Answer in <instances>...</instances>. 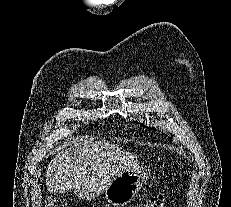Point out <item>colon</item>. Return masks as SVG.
<instances>
[{
	"label": "colon",
	"mask_w": 231,
	"mask_h": 207,
	"mask_svg": "<svg viewBox=\"0 0 231 207\" xmlns=\"http://www.w3.org/2000/svg\"><path fill=\"white\" fill-rule=\"evenodd\" d=\"M47 207H64V204L58 199H51L48 201ZM136 207H167V201L163 195H157L152 197L148 202Z\"/></svg>",
	"instance_id": "obj_1"
}]
</instances>
